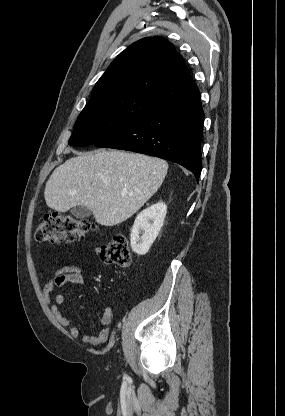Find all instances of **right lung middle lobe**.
I'll list each match as a JSON object with an SVG mask.
<instances>
[{"instance_id": "obj_1", "label": "right lung middle lobe", "mask_w": 285, "mask_h": 416, "mask_svg": "<svg viewBox=\"0 0 285 416\" xmlns=\"http://www.w3.org/2000/svg\"><path fill=\"white\" fill-rule=\"evenodd\" d=\"M161 106L138 96H128L85 107L76 120L69 144H94L142 119Z\"/></svg>"}]
</instances>
